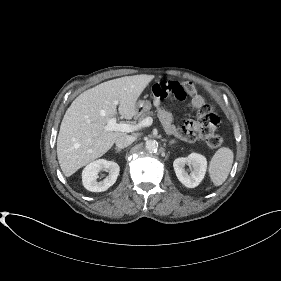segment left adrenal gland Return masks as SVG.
Here are the masks:
<instances>
[{
	"label": "left adrenal gland",
	"instance_id": "a2214340",
	"mask_svg": "<svg viewBox=\"0 0 281 281\" xmlns=\"http://www.w3.org/2000/svg\"><path fill=\"white\" fill-rule=\"evenodd\" d=\"M174 143H176V141H175V140H171V141L169 142V145H172V144H174Z\"/></svg>",
	"mask_w": 281,
	"mask_h": 281
}]
</instances>
